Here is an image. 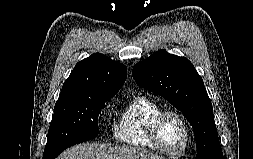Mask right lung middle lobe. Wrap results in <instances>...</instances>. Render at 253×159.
Returning a JSON list of instances; mask_svg holds the SVG:
<instances>
[{
	"label": "right lung middle lobe",
	"instance_id": "dd1d6c3e",
	"mask_svg": "<svg viewBox=\"0 0 253 159\" xmlns=\"http://www.w3.org/2000/svg\"><path fill=\"white\" fill-rule=\"evenodd\" d=\"M111 96L58 99L48 131L44 159H55L64 149L98 135V116Z\"/></svg>",
	"mask_w": 253,
	"mask_h": 159
}]
</instances>
